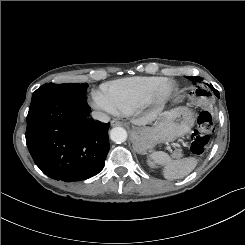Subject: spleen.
Returning a JSON list of instances; mask_svg holds the SVG:
<instances>
[{
    "mask_svg": "<svg viewBox=\"0 0 245 245\" xmlns=\"http://www.w3.org/2000/svg\"><path fill=\"white\" fill-rule=\"evenodd\" d=\"M154 163L162 165L163 175L168 180L180 179L190 174L198 163V159L190 157L173 160L163 151L154 152L150 155Z\"/></svg>",
    "mask_w": 245,
    "mask_h": 245,
    "instance_id": "1",
    "label": "spleen"
}]
</instances>
